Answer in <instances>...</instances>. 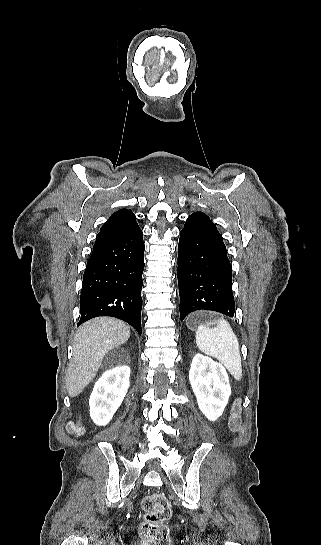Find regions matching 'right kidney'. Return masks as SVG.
Masks as SVG:
<instances>
[{
    "label": "right kidney",
    "instance_id": "right-kidney-1",
    "mask_svg": "<svg viewBox=\"0 0 321 545\" xmlns=\"http://www.w3.org/2000/svg\"><path fill=\"white\" fill-rule=\"evenodd\" d=\"M130 367H115L105 371L95 383L90 395V417L99 427L110 423L114 413L120 407L129 387Z\"/></svg>",
    "mask_w": 321,
    "mask_h": 545
}]
</instances>
